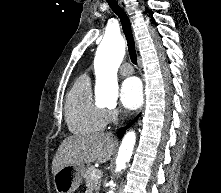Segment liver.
I'll list each match as a JSON object with an SVG mask.
<instances>
[{
    "label": "liver",
    "mask_w": 221,
    "mask_h": 193,
    "mask_svg": "<svg viewBox=\"0 0 221 193\" xmlns=\"http://www.w3.org/2000/svg\"><path fill=\"white\" fill-rule=\"evenodd\" d=\"M115 150L111 133H93L67 137L59 146L52 162V173L67 165L105 163Z\"/></svg>",
    "instance_id": "liver-1"
}]
</instances>
